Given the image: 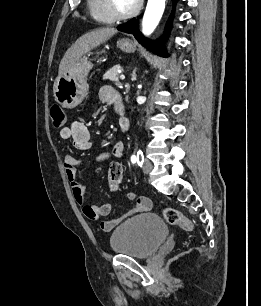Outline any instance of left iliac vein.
<instances>
[{
	"instance_id": "left-iliac-vein-1",
	"label": "left iliac vein",
	"mask_w": 261,
	"mask_h": 306,
	"mask_svg": "<svg viewBox=\"0 0 261 306\" xmlns=\"http://www.w3.org/2000/svg\"><path fill=\"white\" fill-rule=\"evenodd\" d=\"M142 170L145 174H149L152 170V163L146 159L143 163Z\"/></svg>"
}]
</instances>
